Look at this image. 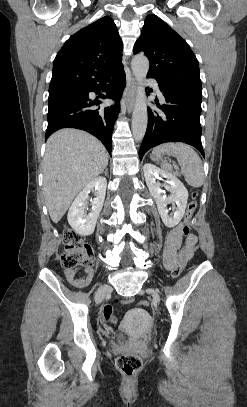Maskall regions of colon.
<instances>
[{
	"label": "colon",
	"instance_id": "colon-1",
	"mask_svg": "<svg viewBox=\"0 0 247 407\" xmlns=\"http://www.w3.org/2000/svg\"><path fill=\"white\" fill-rule=\"evenodd\" d=\"M197 194L192 193V199L187 206L184 220L181 224L182 233L188 237L191 233V220L197 210ZM64 250L61 253V265L65 269H75L77 267H91L94 261L93 250L91 246L84 240L83 236L76 231L67 228L64 231ZM186 264V246L184 245L179 253L178 261L172 271V277L178 278L182 273ZM134 301L133 297H127L121 302L130 304ZM118 302V300H116ZM139 305L143 308L149 306V302L142 300ZM103 318L110 323H117L119 314L113 310L111 304H107L103 308ZM117 369L127 377L136 375L141 367L142 361L140 357L134 353H124L116 359Z\"/></svg>",
	"mask_w": 247,
	"mask_h": 407
}]
</instances>
